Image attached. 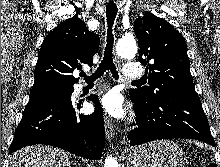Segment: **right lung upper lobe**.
<instances>
[{
  "label": "right lung upper lobe",
  "instance_id": "right-lung-upper-lobe-1",
  "mask_svg": "<svg viewBox=\"0 0 220 167\" xmlns=\"http://www.w3.org/2000/svg\"><path fill=\"white\" fill-rule=\"evenodd\" d=\"M99 47V37L86 28L77 16L61 22L44 39L34 71L30 99L74 90L78 82L72 73L92 58Z\"/></svg>",
  "mask_w": 220,
  "mask_h": 167
}]
</instances>
